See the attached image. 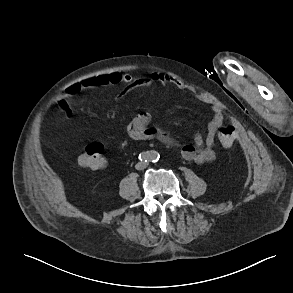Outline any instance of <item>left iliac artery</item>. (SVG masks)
<instances>
[{"label":"left iliac artery","instance_id":"left-iliac-artery-1","mask_svg":"<svg viewBox=\"0 0 293 293\" xmlns=\"http://www.w3.org/2000/svg\"><path fill=\"white\" fill-rule=\"evenodd\" d=\"M159 154L156 152V151H153L152 153H151V159H152V161L153 162H157L158 161V159H159Z\"/></svg>","mask_w":293,"mask_h":293}]
</instances>
